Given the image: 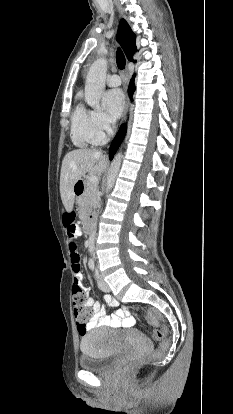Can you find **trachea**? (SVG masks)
<instances>
[{
	"instance_id": "obj_1",
	"label": "trachea",
	"mask_w": 233,
	"mask_h": 414,
	"mask_svg": "<svg viewBox=\"0 0 233 414\" xmlns=\"http://www.w3.org/2000/svg\"><path fill=\"white\" fill-rule=\"evenodd\" d=\"M116 62L120 70H123L125 68L126 60H125L123 52L120 49H118L117 54H116Z\"/></svg>"
}]
</instances>
